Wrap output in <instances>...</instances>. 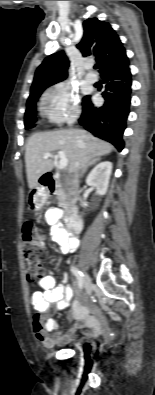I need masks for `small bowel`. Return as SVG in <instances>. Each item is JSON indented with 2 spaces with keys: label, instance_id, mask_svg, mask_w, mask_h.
Masks as SVG:
<instances>
[{
  "label": "small bowel",
  "instance_id": "small-bowel-1",
  "mask_svg": "<svg viewBox=\"0 0 155 395\" xmlns=\"http://www.w3.org/2000/svg\"><path fill=\"white\" fill-rule=\"evenodd\" d=\"M61 211L58 208H49L44 216V223L51 226V235L59 246L61 253H74L79 247V240L74 232L66 231L60 223ZM40 288H33L31 304L35 310L32 327L36 338L47 348L62 346L72 341L76 331L88 328L83 334L84 338H92L101 331V322L79 301H74L68 313V320H75V326L66 333L51 332L58 329V323L50 318L53 309L62 311L69 305L73 297V288L66 283V276L62 284H57L52 274L42 277ZM54 307V308H53Z\"/></svg>",
  "mask_w": 155,
  "mask_h": 395
}]
</instances>
